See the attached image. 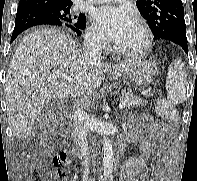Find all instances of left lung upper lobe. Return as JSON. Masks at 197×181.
I'll list each match as a JSON object with an SVG mask.
<instances>
[{"instance_id":"obj_1","label":"left lung upper lobe","mask_w":197,"mask_h":181,"mask_svg":"<svg viewBox=\"0 0 197 181\" xmlns=\"http://www.w3.org/2000/svg\"><path fill=\"white\" fill-rule=\"evenodd\" d=\"M136 5L149 24L155 40H168L171 33L186 31L181 0H138Z\"/></svg>"}]
</instances>
